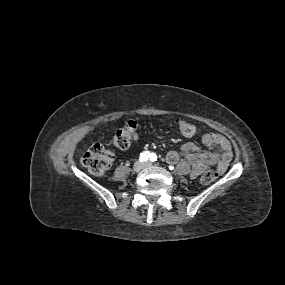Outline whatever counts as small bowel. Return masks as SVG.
<instances>
[{"label": "small bowel", "mask_w": 285, "mask_h": 285, "mask_svg": "<svg viewBox=\"0 0 285 285\" xmlns=\"http://www.w3.org/2000/svg\"><path fill=\"white\" fill-rule=\"evenodd\" d=\"M207 146L216 148L217 152L202 151L195 143L187 142L179 150L167 153L169 163H177L182 156L192 165V174L199 175L205 168L215 165L219 173H224L232 159L231 144L226 137L216 133H207L203 137Z\"/></svg>", "instance_id": "small-bowel-1"}]
</instances>
